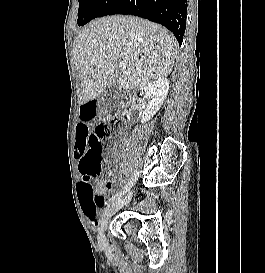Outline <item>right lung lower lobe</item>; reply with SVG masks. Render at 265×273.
Segmentation results:
<instances>
[{
	"label": "right lung lower lobe",
	"mask_w": 265,
	"mask_h": 273,
	"mask_svg": "<svg viewBox=\"0 0 265 273\" xmlns=\"http://www.w3.org/2000/svg\"><path fill=\"white\" fill-rule=\"evenodd\" d=\"M129 14L162 24L182 44L187 0H117L107 15Z\"/></svg>",
	"instance_id": "98d812e1"
}]
</instances>
